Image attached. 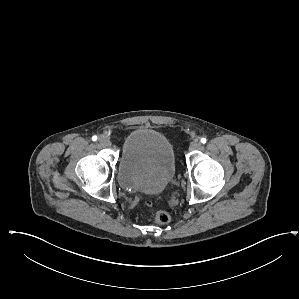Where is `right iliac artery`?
<instances>
[{
	"mask_svg": "<svg viewBox=\"0 0 299 299\" xmlns=\"http://www.w3.org/2000/svg\"><path fill=\"white\" fill-rule=\"evenodd\" d=\"M97 139H98V138H97L96 135H94V136L92 137V140H93V141H97Z\"/></svg>",
	"mask_w": 299,
	"mask_h": 299,
	"instance_id": "1",
	"label": "right iliac artery"
}]
</instances>
